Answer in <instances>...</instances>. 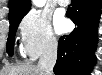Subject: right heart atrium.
Wrapping results in <instances>:
<instances>
[{"label": "right heart atrium", "instance_id": "obj_1", "mask_svg": "<svg viewBox=\"0 0 102 75\" xmlns=\"http://www.w3.org/2000/svg\"><path fill=\"white\" fill-rule=\"evenodd\" d=\"M19 36L23 52L31 60L44 52H52L57 47L50 19L37 11H30L22 18Z\"/></svg>", "mask_w": 102, "mask_h": 75}]
</instances>
